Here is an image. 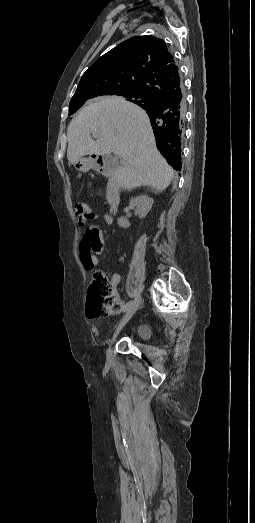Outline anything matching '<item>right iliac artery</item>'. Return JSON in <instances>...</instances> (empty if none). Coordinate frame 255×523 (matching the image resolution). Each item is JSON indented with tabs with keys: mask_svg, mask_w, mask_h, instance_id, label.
Instances as JSON below:
<instances>
[{
	"mask_svg": "<svg viewBox=\"0 0 255 523\" xmlns=\"http://www.w3.org/2000/svg\"><path fill=\"white\" fill-rule=\"evenodd\" d=\"M131 304H132V301L127 302V303L125 304L123 310H124V311H127V310L130 308Z\"/></svg>",
	"mask_w": 255,
	"mask_h": 523,
	"instance_id": "right-iliac-artery-1",
	"label": "right iliac artery"
}]
</instances>
